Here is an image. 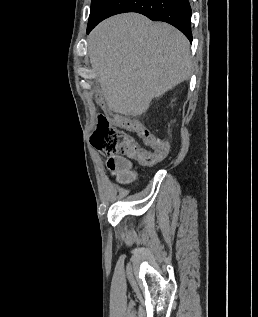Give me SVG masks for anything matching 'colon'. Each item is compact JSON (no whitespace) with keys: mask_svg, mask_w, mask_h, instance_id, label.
I'll use <instances>...</instances> for the list:
<instances>
[{"mask_svg":"<svg viewBox=\"0 0 258 317\" xmlns=\"http://www.w3.org/2000/svg\"><path fill=\"white\" fill-rule=\"evenodd\" d=\"M102 104L106 106V101L102 100ZM119 117L114 113L98 116L97 128L91 137L93 146L107 154H120L146 166L160 163L163 160L161 152L142 148L132 135L115 126Z\"/></svg>","mask_w":258,"mask_h":317,"instance_id":"5ec220e1","label":"colon"}]
</instances>
